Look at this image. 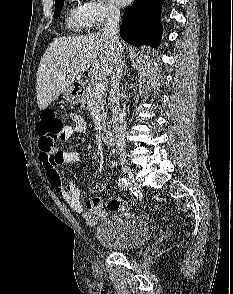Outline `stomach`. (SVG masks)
Returning a JSON list of instances; mask_svg holds the SVG:
<instances>
[{
    "instance_id": "obj_1",
    "label": "stomach",
    "mask_w": 233,
    "mask_h": 294,
    "mask_svg": "<svg viewBox=\"0 0 233 294\" xmlns=\"http://www.w3.org/2000/svg\"><path fill=\"white\" fill-rule=\"evenodd\" d=\"M82 89L79 87L78 84L73 83L70 85L63 93L64 99L72 104H79L82 103Z\"/></svg>"
}]
</instances>
